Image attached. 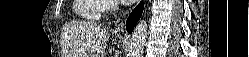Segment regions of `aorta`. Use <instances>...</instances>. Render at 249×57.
<instances>
[{
    "label": "aorta",
    "instance_id": "762f6f07",
    "mask_svg": "<svg viewBox=\"0 0 249 57\" xmlns=\"http://www.w3.org/2000/svg\"><path fill=\"white\" fill-rule=\"evenodd\" d=\"M148 35V25L145 20H140L136 25L129 45L128 57H141Z\"/></svg>",
    "mask_w": 249,
    "mask_h": 57
}]
</instances>
